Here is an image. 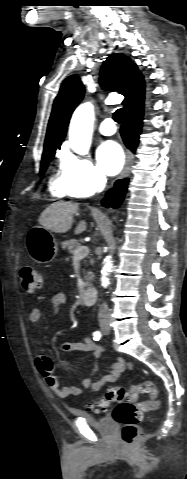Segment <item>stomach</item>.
I'll return each mask as SVG.
<instances>
[{
    "instance_id": "obj_1",
    "label": "stomach",
    "mask_w": 187,
    "mask_h": 479,
    "mask_svg": "<svg viewBox=\"0 0 187 479\" xmlns=\"http://www.w3.org/2000/svg\"><path fill=\"white\" fill-rule=\"evenodd\" d=\"M27 251L39 264L52 262L57 256L58 245L54 235L43 227L32 228L26 237Z\"/></svg>"
}]
</instances>
